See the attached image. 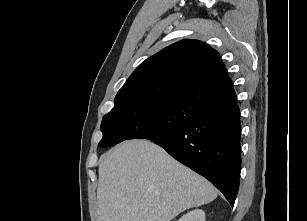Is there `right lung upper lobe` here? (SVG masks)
Wrapping results in <instances>:
<instances>
[{"label":"right lung upper lobe","mask_w":307,"mask_h":221,"mask_svg":"<svg viewBox=\"0 0 307 221\" xmlns=\"http://www.w3.org/2000/svg\"><path fill=\"white\" fill-rule=\"evenodd\" d=\"M171 98L207 107L236 97L217 51L197 40L174 43L143 61L115 97Z\"/></svg>","instance_id":"1"}]
</instances>
